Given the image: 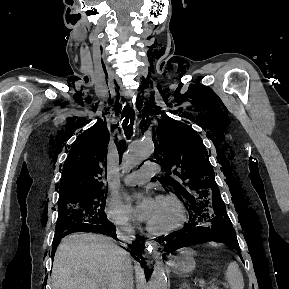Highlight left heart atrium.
I'll return each instance as SVG.
<instances>
[{
  "instance_id": "1",
  "label": "left heart atrium",
  "mask_w": 289,
  "mask_h": 289,
  "mask_svg": "<svg viewBox=\"0 0 289 289\" xmlns=\"http://www.w3.org/2000/svg\"><path fill=\"white\" fill-rule=\"evenodd\" d=\"M127 202L131 206L136 218L147 222L154 213L157 200L150 193H144L142 195L129 196Z\"/></svg>"
}]
</instances>
